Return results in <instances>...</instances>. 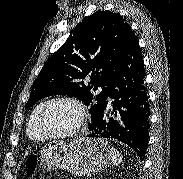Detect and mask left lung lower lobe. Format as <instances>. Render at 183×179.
<instances>
[{
    "instance_id": "obj_1",
    "label": "left lung lower lobe",
    "mask_w": 183,
    "mask_h": 179,
    "mask_svg": "<svg viewBox=\"0 0 183 179\" xmlns=\"http://www.w3.org/2000/svg\"><path fill=\"white\" fill-rule=\"evenodd\" d=\"M143 57L132 30L127 34L108 84L114 99V117L107 114V101L89 126V137L112 138L129 145L142 159L148 146L150 105L145 84Z\"/></svg>"
}]
</instances>
